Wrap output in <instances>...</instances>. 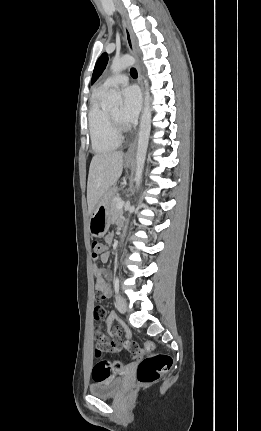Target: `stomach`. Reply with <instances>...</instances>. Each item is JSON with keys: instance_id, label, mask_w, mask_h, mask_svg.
I'll return each instance as SVG.
<instances>
[{"instance_id": "1", "label": "stomach", "mask_w": 261, "mask_h": 431, "mask_svg": "<svg viewBox=\"0 0 261 431\" xmlns=\"http://www.w3.org/2000/svg\"><path fill=\"white\" fill-rule=\"evenodd\" d=\"M132 163L130 158L125 159V165L129 167ZM115 186L110 188L95 206L89 222V230L92 236L103 237L111 224L110 202L114 195Z\"/></svg>"}]
</instances>
